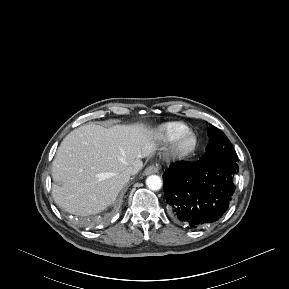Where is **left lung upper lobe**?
I'll return each instance as SVG.
<instances>
[{"label": "left lung upper lobe", "mask_w": 289, "mask_h": 289, "mask_svg": "<svg viewBox=\"0 0 289 289\" xmlns=\"http://www.w3.org/2000/svg\"><path fill=\"white\" fill-rule=\"evenodd\" d=\"M208 136L209 144L206 147V153L201 158L219 164L237 161L236 151L223 132L215 126L210 125Z\"/></svg>", "instance_id": "obj_1"}]
</instances>
